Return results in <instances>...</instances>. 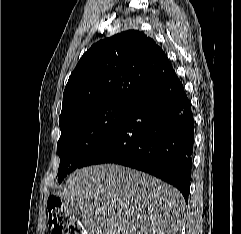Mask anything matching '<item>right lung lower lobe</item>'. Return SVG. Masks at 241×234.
<instances>
[{
    "label": "right lung lower lobe",
    "instance_id": "right-lung-lower-lobe-1",
    "mask_svg": "<svg viewBox=\"0 0 241 234\" xmlns=\"http://www.w3.org/2000/svg\"><path fill=\"white\" fill-rule=\"evenodd\" d=\"M194 143L191 104L173 70L135 101L80 167L116 163L175 186L188 201Z\"/></svg>",
    "mask_w": 241,
    "mask_h": 234
}]
</instances>
